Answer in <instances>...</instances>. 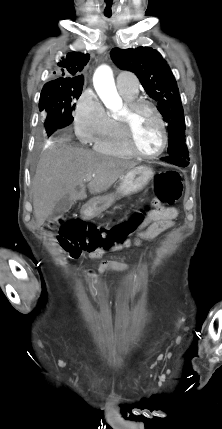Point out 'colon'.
<instances>
[{"mask_svg":"<svg viewBox=\"0 0 222 429\" xmlns=\"http://www.w3.org/2000/svg\"><path fill=\"white\" fill-rule=\"evenodd\" d=\"M158 200L172 205L182 196V180L176 171L159 172L155 177ZM143 213H135L129 219L112 225H95L79 218L64 220L60 227L58 240L71 258L82 252L107 251L125 243L128 237L141 225Z\"/></svg>","mask_w":222,"mask_h":429,"instance_id":"1","label":"colon"}]
</instances>
